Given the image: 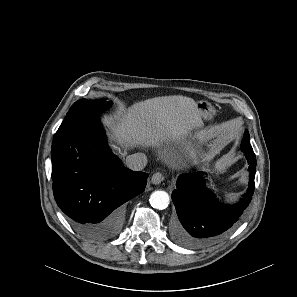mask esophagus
<instances>
[{
  "label": "esophagus",
  "instance_id": "34e87169",
  "mask_svg": "<svg viewBox=\"0 0 297 297\" xmlns=\"http://www.w3.org/2000/svg\"><path fill=\"white\" fill-rule=\"evenodd\" d=\"M164 180V175L161 172H156L151 177L152 184L159 185Z\"/></svg>",
  "mask_w": 297,
  "mask_h": 297
}]
</instances>
